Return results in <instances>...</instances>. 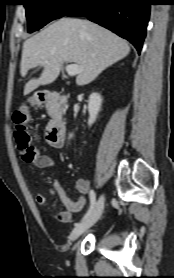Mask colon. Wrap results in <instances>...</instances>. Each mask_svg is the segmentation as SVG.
Segmentation results:
<instances>
[{
    "instance_id": "1",
    "label": "colon",
    "mask_w": 174,
    "mask_h": 278,
    "mask_svg": "<svg viewBox=\"0 0 174 278\" xmlns=\"http://www.w3.org/2000/svg\"><path fill=\"white\" fill-rule=\"evenodd\" d=\"M29 120L30 114L26 105H23L13 115L17 148L21 152L22 159L27 163L34 161L39 154L38 150L31 144V136L28 130Z\"/></svg>"
}]
</instances>
